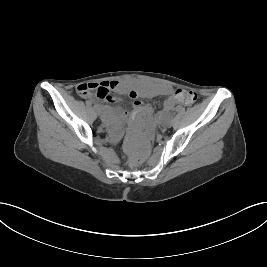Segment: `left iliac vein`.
<instances>
[{
    "instance_id": "obj_1",
    "label": "left iliac vein",
    "mask_w": 267,
    "mask_h": 267,
    "mask_svg": "<svg viewBox=\"0 0 267 267\" xmlns=\"http://www.w3.org/2000/svg\"><path fill=\"white\" fill-rule=\"evenodd\" d=\"M163 126H164V127H169V126H170V123H169L168 121H165V122L163 123Z\"/></svg>"
}]
</instances>
